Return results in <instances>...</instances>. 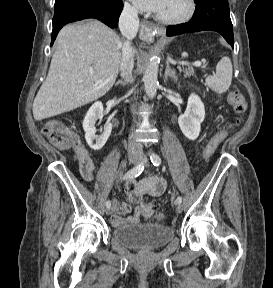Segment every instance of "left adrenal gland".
Wrapping results in <instances>:
<instances>
[{
    "mask_svg": "<svg viewBox=\"0 0 273 288\" xmlns=\"http://www.w3.org/2000/svg\"><path fill=\"white\" fill-rule=\"evenodd\" d=\"M165 81L168 78H171L174 81H177L176 71L170 68L169 61H166V69L164 72Z\"/></svg>",
    "mask_w": 273,
    "mask_h": 288,
    "instance_id": "left-adrenal-gland-1",
    "label": "left adrenal gland"
}]
</instances>
